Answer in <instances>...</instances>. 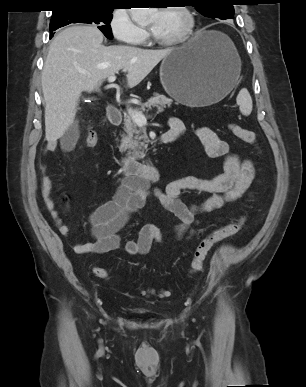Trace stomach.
I'll return each instance as SVG.
<instances>
[{
	"mask_svg": "<svg viewBox=\"0 0 306 387\" xmlns=\"http://www.w3.org/2000/svg\"><path fill=\"white\" fill-rule=\"evenodd\" d=\"M240 71L241 61L233 42L221 32L201 30L163 59L160 80L179 103L202 107L227 96Z\"/></svg>",
	"mask_w": 306,
	"mask_h": 387,
	"instance_id": "1",
	"label": "stomach"
}]
</instances>
